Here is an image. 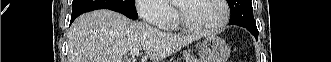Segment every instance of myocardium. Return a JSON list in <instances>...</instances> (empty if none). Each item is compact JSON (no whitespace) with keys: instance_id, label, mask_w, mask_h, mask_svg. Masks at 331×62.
<instances>
[{"instance_id":"f54148a6","label":"myocardium","mask_w":331,"mask_h":62,"mask_svg":"<svg viewBox=\"0 0 331 62\" xmlns=\"http://www.w3.org/2000/svg\"><path fill=\"white\" fill-rule=\"evenodd\" d=\"M181 2L182 1L175 2V7L177 10V21H178V24L184 30H186L188 32L195 33V34H201V35L215 34V33L220 32L221 30H223L229 21V7L225 0H218L220 5L222 6L223 15H222V19H221L220 23L217 26L212 27V28H202V27L194 26V25H191L190 23H188V21L184 17L182 7H181Z\"/></svg>"}]
</instances>
